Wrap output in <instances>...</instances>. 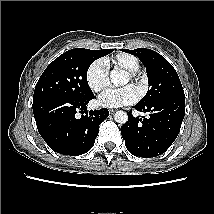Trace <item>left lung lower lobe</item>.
<instances>
[{
  "label": "left lung lower lobe",
  "instance_id": "0a47b994",
  "mask_svg": "<svg viewBox=\"0 0 214 214\" xmlns=\"http://www.w3.org/2000/svg\"><path fill=\"white\" fill-rule=\"evenodd\" d=\"M138 111L149 112V117H134L121 127L127 150L143 158L163 154L179 134L185 115V98H163L147 104L133 106Z\"/></svg>",
  "mask_w": 214,
  "mask_h": 214
}]
</instances>
